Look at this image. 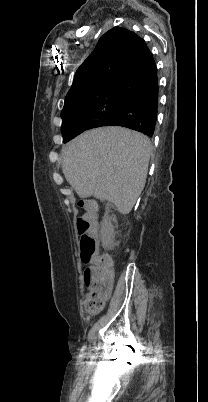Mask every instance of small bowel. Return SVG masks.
Returning <instances> with one entry per match:
<instances>
[{"label":"small bowel","mask_w":208,"mask_h":402,"mask_svg":"<svg viewBox=\"0 0 208 402\" xmlns=\"http://www.w3.org/2000/svg\"><path fill=\"white\" fill-rule=\"evenodd\" d=\"M85 273H87V270L85 271ZM97 298L103 300V302H107L110 299L111 295H95Z\"/></svg>","instance_id":"small-bowel-1"}]
</instances>
